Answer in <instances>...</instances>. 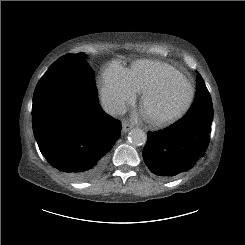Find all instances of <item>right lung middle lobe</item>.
I'll use <instances>...</instances> for the list:
<instances>
[{
  "label": "right lung middle lobe",
  "mask_w": 245,
  "mask_h": 245,
  "mask_svg": "<svg viewBox=\"0 0 245 245\" xmlns=\"http://www.w3.org/2000/svg\"><path fill=\"white\" fill-rule=\"evenodd\" d=\"M33 118L58 107L97 100L85 55L64 57L54 64L34 94Z\"/></svg>",
  "instance_id": "obj_1"
}]
</instances>
